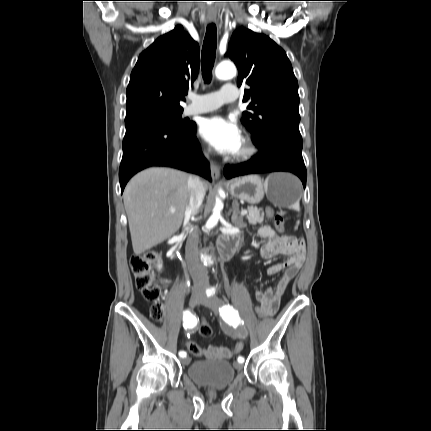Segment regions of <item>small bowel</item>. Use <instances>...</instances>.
Wrapping results in <instances>:
<instances>
[{
	"instance_id": "small-bowel-1",
	"label": "small bowel",
	"mask_w": 431,
	"mask_h": 431,
	"mask_svg": "<svg viewBox=\"0 0 431 431\" xmlns=\"http://www.w3.org/2000/svg\"><path fill=\"white\" fill-rule=\"evenodd\" d=\"M261 238L267 239L261 254L265 259H272L279 255L286 257L285 261L268 268L271 275L282 272L281 277L273 287L258 290L254 297L260 306L261 317L275 313L279 307L281 297L290 281L296 276L305 259V247L303 240L290 235L277 234L270 226H262L258 230ZM204 311H199V313ZM198 313V314H199ZM205 314V313H204ZM203 349V356L209 359H228L232 357L233 347L210 345Z\"/></svg>"
}]
</instances>
